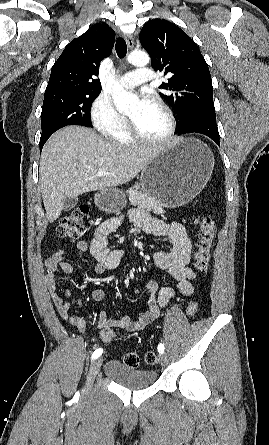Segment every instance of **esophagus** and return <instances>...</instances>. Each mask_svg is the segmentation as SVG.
<instances>
[{
	"mask_svg": "<svg viewBox=\"0 0 269 445\" xmlns=\"http://www.w3.org/2000/svg\"><path fill=\"white\" fill-rule=\"evenodd\" d=\"M124 38L126 40V43H127L128 47L130 49H132L134 47V39H133V37L131 35L127 34V35L124 36Z\"/></svg>",
	"mask_w": 269,
	"mask_h": 445,
	"instance_id": "obj_1",
	"label": "esophagus"
}]
</instances>
